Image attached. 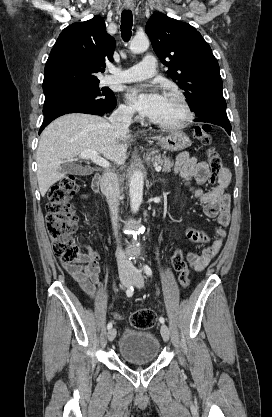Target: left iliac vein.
I'll return each instance as SVG.
<instances>
[{"instance_id": "4c4485c4", "label": "left iliac vein", "mask_w": 272, "mask_h": 417, "mask_svg": "<svg viewBox=\"0 0 272 417\" xmlns=\"http://www.w3.org/2000/svg\"><path fill=\"white\" fill-rule=\"evenodd\" d=\"M133 276H134V281H135L136 287L141 288L144 284V279H143V276L141 274V271L138 270V269L135 270ZM160 332H161L163 340L167 342L169 340L170 332H169L168 327L165 324L161 325Z\"/></svg>"}]
</instances>
